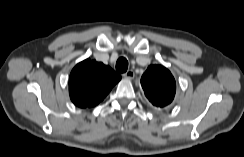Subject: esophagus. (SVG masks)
Listing matches in <instances>:
<instances>
[{"instance_id": "34e87169", "label": "esophagus", "mask_w": 244, "mask_h": 157, "mask_svg": "<svg viewBox=\"0 0 244 157\" xmlns=\"http://www.w3.org/2000/svg\"><path fill=\"white\" fill-rule=\"evenodd\" d=\"M122 76L125 78V79H133L135 77V73L133 70H128L127 72L123 73Z\"/></svg>"}]
</instances>
